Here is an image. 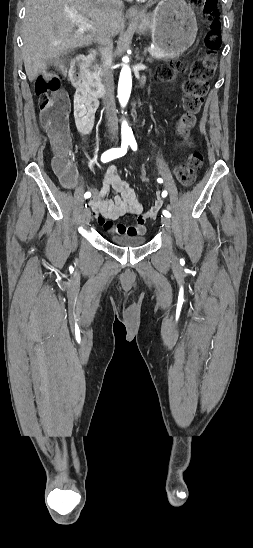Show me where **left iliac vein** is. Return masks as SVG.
Instances as JSON below:
<instances>
[{
    "label": "left iliac vein",
    "instance_id": "left-iliac-vein-1",
    "mask_svg": "<svg viewBox=\"0 0 253 548\" xmlns=\"http://www.w3.org/2000/svg\"><path fill=\"white\" fill-rule=\"evenodd\" d=\"M161 222L163 223L165 230L170 233L172 230V221L168 217H163L161 219Z\"/></svg>",
    "mask_w": 253,
    "mask_h": 548
}]
</instances>
